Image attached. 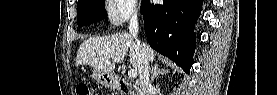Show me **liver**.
<instances>
[{
  "mask_svg": "<svg viewBox=\"0 0 277 95\" xmlns=\"http://www.w3.org/2000/svg\"><path fill=\"white\" fill-rule=\"evenodd\" d=\"M149 61L153 62L156 52L147 44H143ZM128 55L129 62L137 70V55L134 39L130 34L116 33L103 37H92L82 42L79 47L76 66L89 65L94 69L111 73L115 64L111 58H124Z\"/></svg>",
  "mask_w": 277,
  "mask_h": 95,
  "instance_id": "liver-1",
  "label": "liver"
}]
</instances>
